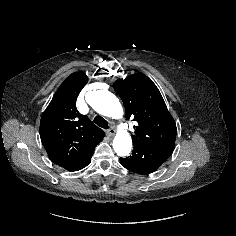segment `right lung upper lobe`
I'll return each instance as SVG.
<instances>
[{
    "label": "right lung upper lobe",
    "instance_id": "right-lung-upper-lobe-1",
    "mask_svg": "<svg viewBox=\"0 0 236 236\" xmlns=\"http://www.w3.org/2000/svg\"><path fill=\"white\" fill-rule=\"evenodd\" d=\"M82 72L68 76L60 85L40 121V137L52 162L61 166L98 145L105 133L76 108L77 97L87 84Z\"/></svg>",
    "mask_w": 236,
    "mask_h": 236
}]
</instances>
